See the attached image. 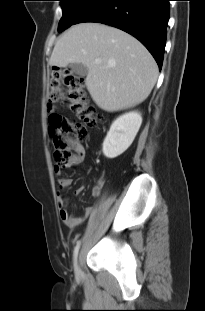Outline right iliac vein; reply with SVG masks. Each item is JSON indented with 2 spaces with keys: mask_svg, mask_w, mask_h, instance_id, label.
Returning <instances> with one entry per match:
<instances>
[{
  "mask_svg": "<svg viewBox=\"0 0 205 311\" xmlns=\"http://www.w3.org/2000/svg\"><path fill=\"white\" fill-rule=\"evenodd\" d=\"M75 274L77 277H80L81 275L80 259H76L75 261Z\"/></svg>",
  "mask_w": 205,
  "mask_h": 311,
  "instance_id": "63e3f726",
  "label": "right iliac vein"
}]
</instances>
